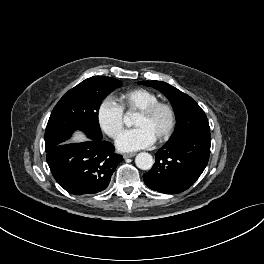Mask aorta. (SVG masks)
Wrapping results in <instances>:
<instances>
[{"instance_id": "obj_1", "label": "aorta", "mask_w": 264, "mask_h": 264, "mask_svg": "<svg viewBox=\"0 0 264 264\" xmlns=\"http://www.w3.org/2000/svg\"><path fill=\"white\" fill-rule=\"evenodd\" d=\"M124 121L127 125L130 123L127 115L124 117ZM135 163L138 168L142 170H149L153 166L154 160L151 154L147 152H141L137 154Z\"/></svg>"}]
</instances>
